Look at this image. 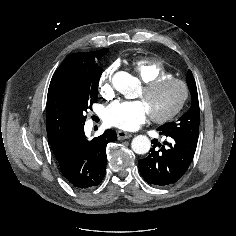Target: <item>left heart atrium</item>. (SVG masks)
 <instances>
[{"instance_id":"1","label":"left heart atrium","mask_w":236,"mask_h":236,"mask_svg":"<svg viewBox=\"0 0 236 236\" xmlns=\"http://www.w3.org/2000/svg\"><path fill=\"white\" fill-rule=\"evenodd\" d=\"M148 115L143 101H120L107 109L106 122L122 130L133 131L147 121Z\"/></svg>"}]
</instances>
